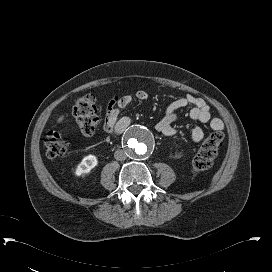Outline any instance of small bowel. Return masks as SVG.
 Wrapping results in <instances>:
<instances>
[{
  "mask_svg": "<svg viewBox=\"0 0 272 272\" xmlns=\"http://www.w3.org/2000/svg\"><path fill=\"white\" fill-rule=\"evenodd\" d=\"M148 93L143 90H138L134 93L125 94L120 97H114L107 109L105 116L104 128L108 133L114 131L118 123L121 111L129 105L133 100H146ZM186 106H190V118L201 124L208 123L212 130H221L224 124L219 118H212L210 107L207 102L201 98L191 94L185 97L176 99L169 104L165 110L163 118L157 123L156 129L165 136H171L175 133L173 123L178 119V111ZM204 137V130L199 125L193 126L191 130V138L194 142H200Z\"/></svg>",
  "mask_w": 272,
  "mask_h": 272,
  "instance_id": "c3829d8e",
  "label": "small bowel"
}]
</instances>
